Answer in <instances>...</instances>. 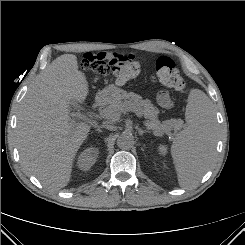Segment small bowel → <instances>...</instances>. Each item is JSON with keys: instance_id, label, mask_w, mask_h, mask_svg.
Listing matches in <instances>:
<instances>
[{"instance_id": "c3829d8e", "label": "small bowel", "mask_w": 245, "mask_h": 245, "mask_svg": "<svg viewBox=\"0 0 245 245\" xmlns=\"http://www.w3.org/2000/svg\"><path fill=\"white\" fill-rule=\"evenodd\" d=\"M105 58L111 59L116 58L120 55V53H101ZM142 62H146L147 60L145 58H140ZM157 101L163 108H171L172 107V101L169 97V94L166 91H161L157 95Z\"/></svg>"}]
</instances>
